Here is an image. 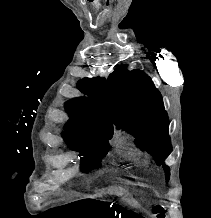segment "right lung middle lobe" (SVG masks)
Masks as SVG:
<instances>
[{
    "mask_svg": "<svg viewBox=\"0 0 211 218\" xmlns=\"http://www.w3.org/2000/svg\"><path fill=\"white\" fill-rule=\"evenodd\" d=\"M63 135L65 141L71 147L79 148L86 152L87 156L82 159L83 163L81 166L84 172H89L94 168L100 167L101 157L108 152V139L112 137L104 133H92L67 125Z\"/></svg>",
    "mask_w": 211,
    "mask_h": 218,
    "instance_id": "dd1d6c3e",
    "label": "right lung middle lobe"
}]
</instances>
